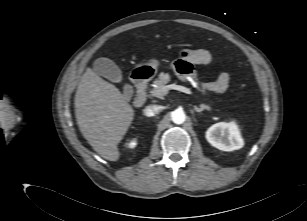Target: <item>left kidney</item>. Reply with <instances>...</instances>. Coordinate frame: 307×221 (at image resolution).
Returning <instances> with one entry per match:
<instances>
[{"label":"left kidney","mask_w":307,"mask_h":221,"mask_svg":"<svg viewBox=\"0 0 307 221\" xmlns=\"http://www.w3.org/2000/svg\"><path fill=\"white\" fill-rule=\"evenodd\" d=\"M207 141L222 151H233L243 147L244 142L235 122H219L206 131Z\"/></svg>","instance_id":"5707ae66"}]
</instances>
